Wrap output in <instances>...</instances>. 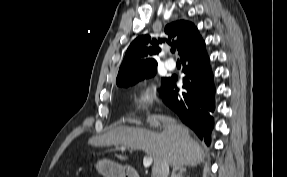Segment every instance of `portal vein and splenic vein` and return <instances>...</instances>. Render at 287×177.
<instances>
[{
	"instance_id": "portal-vein-and-splenic-vein-1",
	"label": "portal vein and splenic vein",
	"mask_w": 287,
	"mask_h": 177,
	"mask_svg": "<svg viewBox=\"0 0 287 177\" xmlns=\"http://www.w3.org/2000/svg\"><path fill=\"white\" fill-rule=\"evenodd\" d=\"M122 150H125L126 147H121ZM153 163V158L151 156H144L143 158V166L145 168H149Z\"/></svg>"
}]
</instances>
